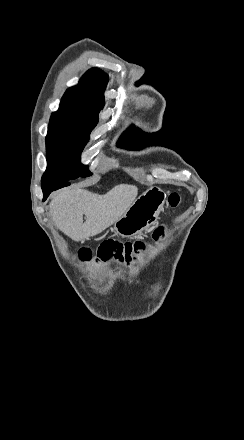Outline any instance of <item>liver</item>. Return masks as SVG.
<instances>
[{"label":"liver","mask_w":244,"mask_h":440,"mask_svg":"<svg viewBox=\"0 0 244 440\" xmlns=\"http://www.w3.org/2000/svg\"><path fill=\"white\" fill-rule=\"evenodd\" d=\"M137 194L138 188L128 184L115 186L104 196L75 188L59 192L49 208L57 228L74 242H82L101 234L122 218L135 202Z\"/></svg>","instance_id":"liver-1"}]
</instances>
